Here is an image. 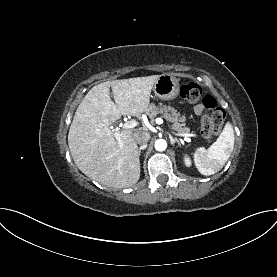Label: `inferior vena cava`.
I'll use <instances>...</instances> for the list:
<instances>
[{
	"label": "inferior vena cava",
	"instance_id": "602c4592",
	"mask_svg": "<svg viewBox=\"0 0 277 277\" xmlns=\"http://www.w3.org/2000/svg\"><path fill=\"white\" fill-rule=\"evenodd\" d=\"M134 140L137 144L147 145V142L150 140V134L145 131H140L134 134Z\"/></svg>",
	"mask_w": 277,
	"mask_h": 277
}]
</instances>
